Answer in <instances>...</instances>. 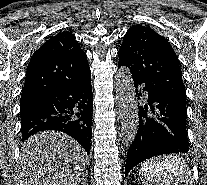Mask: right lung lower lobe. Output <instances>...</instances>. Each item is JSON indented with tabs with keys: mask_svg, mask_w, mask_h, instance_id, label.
<instances>
[{
	"mask_svg": "<svg viewBox=\"0 0 207 185\" xmlns=\"http://www.w3.org/2000/svg\"><path fill=\"white\" fill-rule=\"evenodd\" d=\"M91 75L69 82L52 95L20 107L22 141L44 130L69 134L89 154L92 138Z\"/></svg>",
	"mask_w": 207,
	"mask_h": 185,
	"instance_id": "98d812e1",
	"label": "right lung lower lobe"
}]
</instances>
